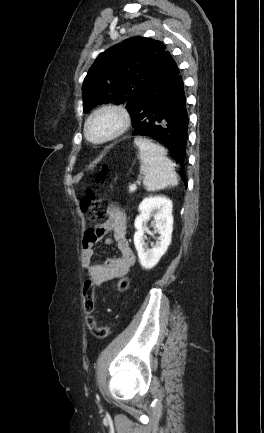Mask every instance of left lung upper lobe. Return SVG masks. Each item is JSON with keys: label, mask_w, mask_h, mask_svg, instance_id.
<instances>
[{"label": "left lung upper lobe", "mask_w": 264, "mask_h": 433, "mask_svg": "<svg viewBox=\"0 0 264 433\" xmlns=\"http://www.w3.org/2000/svg\"><path fill=\"white\" fill-rule=\"evenodd\" d=\"M171 55L165 45L145 37H133L104 51L84 79L83 110L113 102L129 112L140 93L155 79Z\"/></svg>", "instance_id": "left-lung-upper-lobe-1"}]
</instances>
